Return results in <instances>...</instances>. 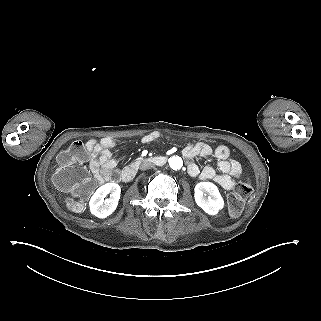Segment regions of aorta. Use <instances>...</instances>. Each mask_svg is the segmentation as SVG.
Here are the masks:
<instances>
[{"label":"aorta","instance_id":"obj_1","mask_svg":"<svg viewBox=\"0 0 321 321\" xmlns=\"http://www.w3.org/2000/svg\"><path fill=\"white\" fill-rule=\"evenodd\" d=\"M169 166L173 170H178L183 166V161L179 156H173L169 158Z\"/></svg>","mask_w":321,"mask_h":321}]
</instances>
